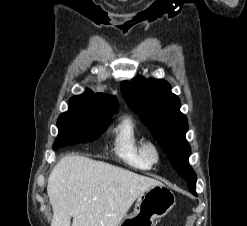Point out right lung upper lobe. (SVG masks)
Wrapping results in <instances>:
<instances>
[{"instance_id":"cb5924a9","label":"right lung upper lobe","mask_w":247,"mask_h":226,"mask_svg":"<svg viewBox=\"0 0 247 226\" xmlns=\"http://www.w3.org/2000/svg\"><path fill=\"white\" fill-rule=\"evenodd\" d=\"M79 96L93 101L99 108V114L103 116L114 115L118 108V102L115 96H110L104 93L94 94L90 89Z\"/></svg>"}]
</instances>
